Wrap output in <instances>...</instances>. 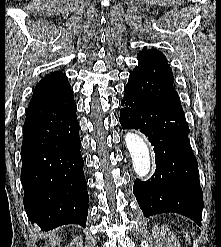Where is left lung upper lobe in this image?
<instances>
[{
	"label": "left lung upper lobe",
	"instance_id": "left-lung-upper-lobe-1",
	"mask_svg": "<svg viewBox=\"0 0 221 247\" xmlns=\"http://www.w3.org/2000/svg\"><path fill=\"white\" fill-rule=\"evenodd\" d=\"M138 66L129 76L136 92L171 106L182 108L173 87V73L166 57L156 49H144L137 54Z\"/></svg>",
	"mask_w": 221,
	"mask_h": 247
}]
</instances>
